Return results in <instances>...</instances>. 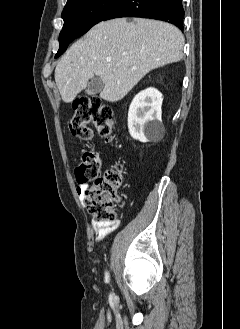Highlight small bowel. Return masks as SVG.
I'll list each match as a JSON object with an SVG mask.
<instances>
[{
	"instance_id": "obj_1",
	"label": "small bowel",
	"mask_w": 240,
	"mask_h": 329,
	"mask_svg": "<svg viewBox=\"0 0 240 329\" xmlns=\"http://www.w3.org/2000/svg\"><path fill=\"white\" fill-rule=\"evenodd\" d=\"M87 189V185H78L76 188L77 195L80 200L84 201V192ZM119 226V223L115 220L112 221H93L92 229L96 236L97 241H102L107 235L114 232Z\"/></svg>"
}]
</instances>
